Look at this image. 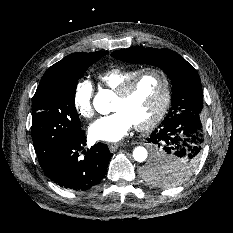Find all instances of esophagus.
I'll return each instance as SVG.
<instances>
[{"mask_svg":"<svg viewBox=\"0 0 233 233\" xmlns=\"http://www.w3.org/2000/svg\"><path fill=\"white\" fill-rule=\"evenodd\" d=\"M120 144L119 143H110L109 144V150L111 152H115L119 148Z\"/></svg>","mask_w":233,"mask_h":233,"instance_id":"obj_1","label":"esophagus"}]
</instances>
